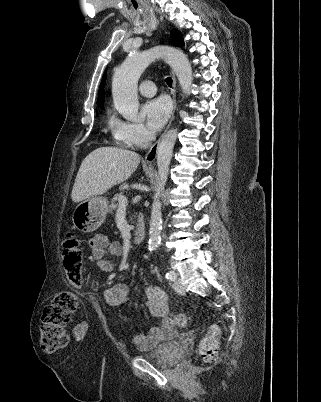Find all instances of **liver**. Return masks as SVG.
<instances>
[{
	"label": "liver",
	"mask_w": 321,
	"mask_h": 402,
	"mask_svg": "<svg viewBox=\"0 0 321 402\" xmlns=\"http://www.w3.org/2000/svg\"><path fill=\"white\" fill-rule=\"evenodd\" d=\"M140 156L117 147H99L82 161L72 189L75 203L101 195L126 181L137 169Z\"/></svg>",
	"instance_id": "1"
}]
</instances>
